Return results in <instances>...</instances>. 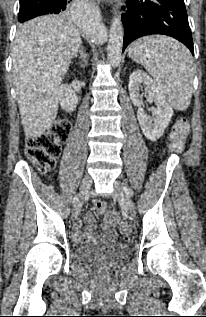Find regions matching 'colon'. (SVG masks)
<instances>
[{
  "label": "colon",
  "mask_w": 206,
  "mask_h": 317,
  "mask_svg": "<svg viewBox=\"0 0 206 317\" xmlns=\"http://www.w3.org/2000/svg\"><path fill=\"white\" fill-rule=\"evenodd\" d=\"M70 131V122L66 118H60L44 134L27 139V157L41 172L45 173L52 170L61 153L63 143L70 135ZM188 133L189 122L187 118H178L171 134L169 150L174 153L182 152L185 148V139ZM94 208L98 213H105L107 207L104 202L97 201L94 204ZM106 221L113 225H119L120 232L123 236L127 237L130 235V225L122 221L118 213H108L106 215Z\"/></svg>",
  "instance_id": "colon-1"
}]
</instances>
